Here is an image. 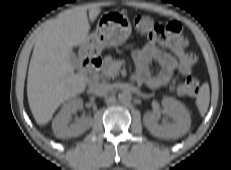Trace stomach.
I'll list each match as a JSON object with an SVG mask.
<instances>
[{"label":"stomach","instance_id":"obj_1","mask_svg":"<svg viewBox=\"0 0 231 170\" xmlns=\"http://www.w3.org/2000/svg\"><path fill=\"white\" fill-rule=\"evenodd\" d=\"M131 30V23L125 14L105 12L83 46L99 53L106 47L123 44L129 38Z\"/></svg>","mask_w":231,"mask_h":170}]
</instances>
